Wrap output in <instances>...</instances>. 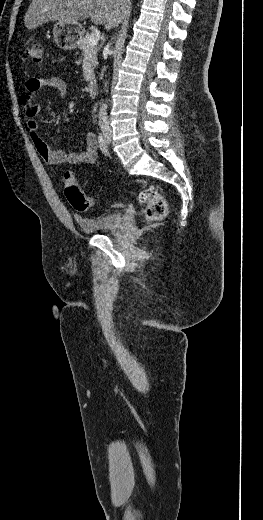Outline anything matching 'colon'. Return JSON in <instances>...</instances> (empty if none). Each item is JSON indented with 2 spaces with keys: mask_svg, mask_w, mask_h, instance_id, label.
<instances>
[{
  "mask_svg": "<svg viewBox=\"0 0 263 520\" xmlns=\"http://www.w3.org/2000/svg\"><path fill=\"white\" fill-rule=\"evenodd\" d=\"M25 54L33 62H41L43 44L40 41H34L26 49ZM62 182L66 198L75 210L86 212L94 206V199L86 196L81 191L73 173L65 172ZM138 200L145 207L144 215L148 221H159L166 217L168 212L167 203L156 186L151 185L143 189L138 195Z\"/></svg>",
  "mask_w": 263,
  "mask_h": 520,
  "instance_id": "5ec220e1",
  "label": "colon"
}]
</instances>
